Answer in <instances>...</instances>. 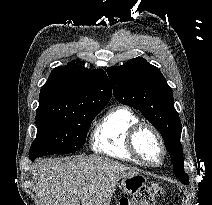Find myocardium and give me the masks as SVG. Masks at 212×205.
Segmentation results:
<instances>
[{"label":"myocardium","mask_w":212,"mask_h":205,"mask_svg":"<svg viewBox=\"0 0 212 205\" xmlns=\"http://www.w3.org/2000/svg\"><path fill=\"white\" fill-rule=\"evenodd\" d=\"M143 132H148L149 134L152 135L154 140L156 141L157 145L159 146L160 149V158L158 161H151L148 158H146L140 151L138 147V138ZM127 143H128V148L130 152L133 154V156L141 163L147 164L150 166H158L162 164L166 157V148L164 141L158 132V130L152 126L151 124L148 123H138L136 124L129 132L128 138H127Z\"/></svg>","instance_id":"f54148a6"}]
</instances>
